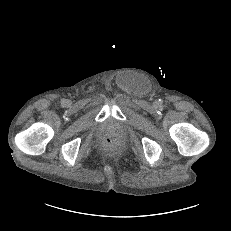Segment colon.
<instances>
[{"mask_svg": "<svg viewBox=\"0 0 231 231\" xmlns=\"http://www.w3.org/2000/svg\"><path fill=\"white\" fill-rule=\"evenodd\" d=\"M102 147L104 150L108 151V152H113L116 149V142L114 141V139L108 137L105 138L103 143H102Z\"/></svg>", "mask_w": 231, "mask_h": 231, "instance_id": "colon-1", "label": "colon"}]
</instances>
